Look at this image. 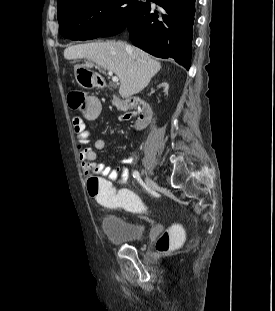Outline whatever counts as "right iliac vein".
<instances>
[{"mask_svg": "<svg viewBox=\"0 0 275 311\" xmlns=\"http://www.w3.org/2000/svg\"><path fill=\"white\" fill-rule=\"evenodd\" d=\"M145 181H146L147 186H148L151 190H156V189H157L158 185H157V183H156L154 180H152L151 178L147 177V178L145 179Z\"/></svg>", "mask_w": 275, "mask_h": 311, "instance_id": "63e3f726", "label": "right iliac vein"}]
</instances>
